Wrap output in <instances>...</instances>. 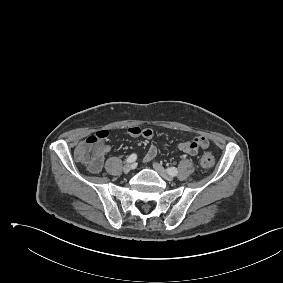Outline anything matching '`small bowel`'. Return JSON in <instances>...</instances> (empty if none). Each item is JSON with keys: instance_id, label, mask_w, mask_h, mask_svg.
I'll list each match as a JSON object with an SVG mask.
<instances>
[{"instance_id": "small-bowel-1", "label": "small bowel", "mask_w": 283, "mask_h": 283, "mask_svg": "<svg viewBox=\"0 0 283 283\" xmlns=\"http://www.w3.org/2000/svg\"><path fill=\"white\" fill-rule=\"evenodd\" d=\"M127 134L130 135L131 137L143 136L144 138H152L154 133L153 130L150 128L141 129L136 126H132L127 129ZM208 145H209V140L206 137L196 136L193 139L179 143L178 148L189 155H195L198 153L199 149L207 148ZM109 150H110L109 146L107 145L102 146V154L108 152ZM156 154H157V148L155 146H151L145 155L144 158L145 162L151 161L156 156Z\"/></svg>"}]
</instances>
